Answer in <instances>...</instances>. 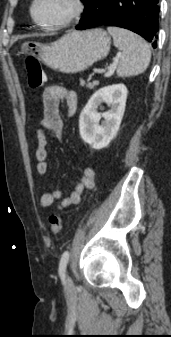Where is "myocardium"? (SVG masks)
Masks as SVG:
<instances>
[{
    "label": "myocardium",
    "mask_w": 171,
    "mask_h": 337,
    "mask_svg": "<svg viewBox=\"0 0 171 337\" xmlns=\"http://www.w3.org/2000/svg\"><path fill=\"white\" fill-rule=\"evenodd\" d=\"M39 0H33L31 7H30V14L31 18L34 21L35 24H37L39 27L45 30L49 31H56L63 29L67 26H69L71 23H73L75 20H77L79 17L82 16L85 10V3L84 0H71L72 3V10L70 14L61 22L56 24H45L38 20L36 17V6L38 4Z\"/></svg>",
    "instance_id": "obj_1"
}]
</instances>
